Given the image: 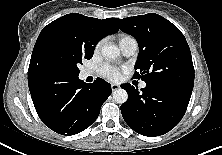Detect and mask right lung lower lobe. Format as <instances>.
Wrapping results in <instances>:
<instances>
[{
    "mask_svg": "<svg viewBox=\"0 0 222 155\" xmlns=\"http://www.w3.org/2000/svg\"><path fill=\"white\" fill-rule=\"evenodd\" d=\"M110 94V84L100 78L87 84L74 77L57 78L47 93L31 97L46 126L62 135H75L97 119Z\"/></svg>",
    "mask_w": 222,
    "mask_h": 155,
    "instance_id": "obj_1",
    "label": "right lung lower lobe"
}]
</instances>
